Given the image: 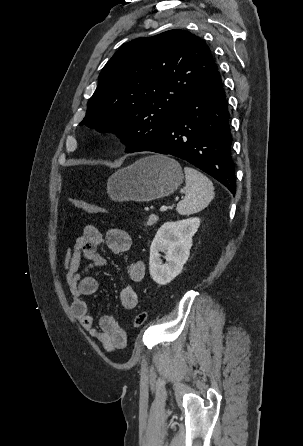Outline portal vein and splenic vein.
I'll return each mask as SVG.
<instances>
[{
	"label": "portal vein and splenic vein",
	"mask_w": 303,
	"mask_h": 446,
	"mask_svg": "<svg viewBox=\"0 0 303 446\" xmlns=\"http://www.w3.org/2000/svg\"><path fill=\"white\" fill-rule=\"evenodd\" d=\"M167 209H168L167 206H161V207H160V211H161V212H164V211H166Z\"/></svg>",
	"instance_id": "obj_1"
}]
</instances>
